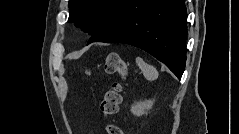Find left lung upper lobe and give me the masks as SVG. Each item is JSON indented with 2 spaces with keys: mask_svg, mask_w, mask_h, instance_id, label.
<instances>
[{
  "mask_svg": "<svg viewBox=\"0 0 239 134\" xmlns=\"http://www.w3.org/2000/svg\"><path fill=\"white\" fill-rule=\"evenodd\" d=\"M124 0H69L68 22L81 27L89 35L102 30L112 20Z\"/></svg>",
  "mask_w": 239,
  "mask_h": 134,
  "instance_id": "1",
  "label": "left lung upper lobe"
}]
</instances>
